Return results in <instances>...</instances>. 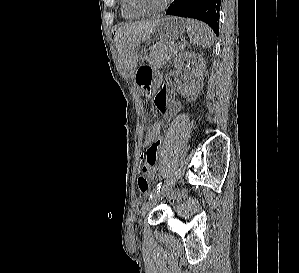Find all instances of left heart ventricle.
Here are the masks:
<instances>
[{"mask_svg": "<svg viewBox=\"0 0 299 273\" xmlns=\"http://www.w3.org/2000/svg\"><path fill=\"white\" fill-rule=\"evenodd\" d=\"M135 3L145 9H155L159 7L164 0H134Z\"/></svg>", "mask_w": 299, "mask_h": 273, "instance_id": "b2bd125f", "label": "left heart ventricle"}]
</instances>
